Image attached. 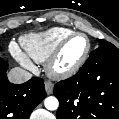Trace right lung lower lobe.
<instances>
[{"instance_id": "right-lung-lower-lobe-1", "label": "right lung lower lobe", "mask_w": 119, "mask_h": 119, "mask_svg": "<svg viewBox=\"0 0 119 119\" xmlns=\"http://www.w3.org/2000/svg\"><path fill=\"white\" fill-rule=\"evenodd\" d=\"M8 64L0 59V119H29L33 109L46 97L44 81L33 77L23 84L10 83Z\"/></svg>"}]
</instances>
